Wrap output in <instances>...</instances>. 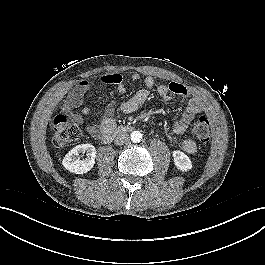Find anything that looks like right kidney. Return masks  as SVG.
<instances>
[{"label": "right kidney", "mask_w": 265, "mask_h": 265, "mask_svg": "<svg viewBox=\"0 0 265 265\" xmlns=\"http://www.w3.org/2000/svg\"><path fill=\"white\" fill-rule=\"evenodd\" d=\"M86 158L80 159V154H85ZM96 149L92 144H81L70 150L64 157L62 164L70 172L83 174L90 171L95 164Z\"/></svg>", "instance_id": "right-kidney-1"}]
</instances>
